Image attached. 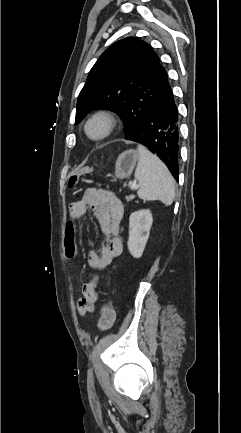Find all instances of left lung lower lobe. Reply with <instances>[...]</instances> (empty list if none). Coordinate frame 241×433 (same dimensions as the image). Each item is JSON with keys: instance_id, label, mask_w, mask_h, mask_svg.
Listing matches in <instances>:
<instances>
[{"instance_id": "left-lung-lower-lobe-1", "label": "left lung lower lobe", "mask_w": 241, "mask_h": 433, "mask_svg": "<svg viewBox=\"0 0 241 433\" xmlns=\"http://www.w3.org/2000/svg\"><path fill=\"white\" fill-rule=\"evenodd\" d=\"M125 139L146 146L178 179L179 115L168 81L157 103Z\"/></svg>"}]
</instances>
